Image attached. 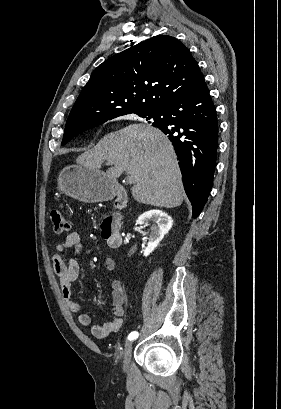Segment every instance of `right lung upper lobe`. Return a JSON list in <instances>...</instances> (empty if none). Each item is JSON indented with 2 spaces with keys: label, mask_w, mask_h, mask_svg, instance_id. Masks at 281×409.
Here are the masks:
<instances>
[{
  "label": "right lung upper lobe",
  "mask_w": 281,
  "mask_h": 409,
  "mask_svg": "<svg viewBox=\"0 0 281 409\" xmlns=\"http://www.w3.org/2000/svg\"><path fill=\"white\" fill-rule=\"evenodd\" d=\"M202 75L179 40L158 35L114 55L92 73L65 128L84 127L125 112H156Z\"/></svg>",
  "instance_id": "cb5924a9"
}]
</instances>
